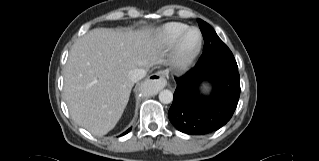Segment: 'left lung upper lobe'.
Here are the masks:
<instances>
[{
    "mask_svg": "<svg viewBox=\"0 0 319 161\" xmlns=\"http://www.w3.org/2000/svg\"><path fill=\"white\" fill-rule=\"evenodd\" d=\"M197 21L205 41L203 54L199 58L197 65L204 66L222 63L237 66L232 52L218 37L214 29L201 19Z\"/></svg>",
    "mask_w": 319,
    "mask_h": 161,
    "instance_id": "1",
    "label": "left lung upper lobe"
}]
</instances>
